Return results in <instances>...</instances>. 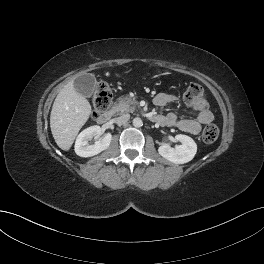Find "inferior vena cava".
<instances>
[{
    "mask_svg": "<svg viewBox=\"0 0 264 264\" xmlns=\"http://www.w3.org/2000/svg\"><path fill=\"white\" fill-rule=\"evenodd\" d=\"M130 119L129 114H123L117 118L114 119L115 123L118 125L125 124Z\"/></svg>",
    "mask_w": 264,
    "mask_h": 264,
    "instance_id": "obj_1",
    "label": "inferior vena cava"
}]
</instances>
